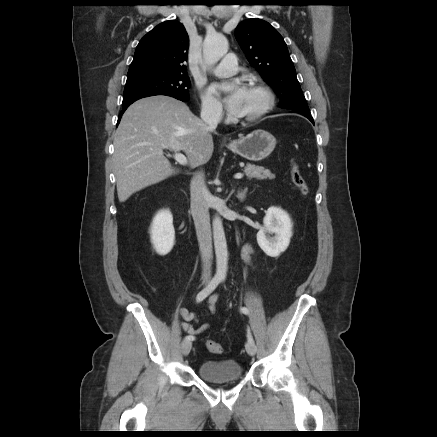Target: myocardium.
Segmentation results:
<instances>
[{"mask_svg":"<svg viewBox=\"0 0 437 437\" xmlns=\"http://www.w3.org/2000/svg\"><path fill=\"white\" fill-rule=\"evenodd\" d=\"M248 88L260 91L265 98L263 106L254 114L248 116H237L234 120L239 122H255L264 117L274 106L275 98L271 89L262 83H251Z\"/></svg>","mask_w":437,"mask_h":437,"instance_id":"f54148a6","label":"myocardium"}]
</instances>
